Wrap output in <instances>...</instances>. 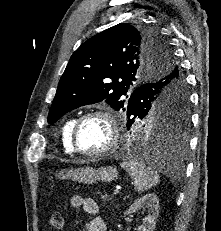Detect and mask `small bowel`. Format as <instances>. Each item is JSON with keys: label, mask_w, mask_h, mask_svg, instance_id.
Masks as SVG:
<instances>
[{"label": "small bowel", "mask_w": 221, "mask_h": 231, "mask_svg": "<svg viewBox=\"0 0 221 231\" xmlns=\"http://www.w3.org/2000/svg\"><path fill=\"white\" fill-rule=\"evenodd\" d=\"M70 205L74 209H84V211L92 216L86 224L87 231H107L106 224L98 215L99 205L92 198H84L80 195H73L70 198Z\"/></svg>", "instance_id": "1"}]
</instances>
